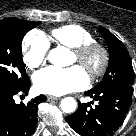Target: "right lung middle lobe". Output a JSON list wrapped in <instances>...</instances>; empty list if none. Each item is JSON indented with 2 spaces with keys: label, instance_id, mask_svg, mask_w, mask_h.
<instances>
[{
  "label": "right lung middle lobe",
  "instance_id": "right-lung-middle-lobe-1",
  "mask_svg": "<svg viewBox=\"0 0 136 136\" xmlns=\"http://www.w3.org/2000/svg\"><path fill=\"white\" fill-rule=\"evenodd\" d=\"M39 22L13 19L0 22V91H11L29 78L22 59L24 35Z\"/></svg>",
  "mask_w": 136,
  "mask_h": 136
}]
</instances>
